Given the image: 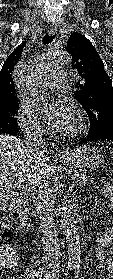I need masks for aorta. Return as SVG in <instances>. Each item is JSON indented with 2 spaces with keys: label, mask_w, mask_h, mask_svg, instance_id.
Masks as SVG:
<instances>
[{
  "label": "aorta",
  "mask_w": 113,
  "mask_h": 279,
  "mask_svg": "<svg viewBox=\"0 0 113 279\" xmlns=\"http://www.w3.org/2000/svg\"><path fill=\"white\" fill-rule=\"evenodd\" d=\"M71 62V56L64 50H58L46 57V66L49 69L62 67ZM61 227L68 245V267L76 268L81 261V243L74 211L68 204L61 207Z\"/></svg>",
  "instance_id": "obj_1"
}]
</instances>
